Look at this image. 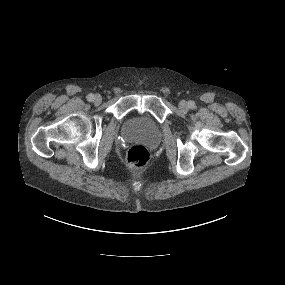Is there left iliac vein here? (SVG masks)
I'll use <instances>...</instances> for the list:
<instances>
[{
	"label": "left iliac vein",
	"instance_id": "left-iliac-vein-1",
	"mask_svg": "<svg viewBox=\"0 0 285 285\" xmlns=\"http://www.w3.org/2000/svg\"><path fill=\"white\" fill-rule=\"evenodd\" d=\"M179 109L182 111V112H186L188 111L189 107H188V104L186 101L182 100L179 102V105H178Z\"/></svg>",
	"mask_w": 285,
	"mask_h": 285
}]
</instances>
